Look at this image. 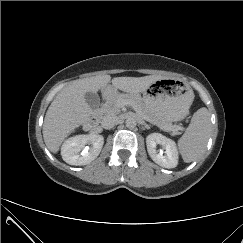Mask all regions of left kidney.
I'll list each match as a JSON object with an SVG mask.
<instances>
[{"mask_svg": "<svg viewBox=\"0 0 243 243\" xmlns=\"http://www.w3.org/2000/svg\"><path fill=\"white\" fill-rule=\"evenodd\" d=\"M157 144L163 146L165 154L156 150ZM147 151L151 159L164 168H175L178 164V151L173 140L160 133H151L146 137Z\"/></svg>", "mask_w": 243, "mask_h": 243, "instance_id": "left-kidney-1", "label": "left kidney"}]
</instances>
